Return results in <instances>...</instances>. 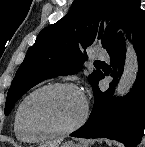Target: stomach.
I'll return each mask as SVG.
<instances>
[{"mask_svg": "<svg viewBox=\"0 0 145 147\" xmlns=\"http://www.w3.org/2000/svg\"><path fill=\"white\" fill-rule=\"evenodd\" d=\"M61 147H86V146L83 142L76 144L74 142L69 141V142L63 143Z\"/></svg>", "mask_w": 145, "mask_h": 147, "instance_id": "obj_1", "label": "stomach"}]
</instances>
